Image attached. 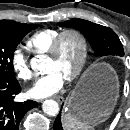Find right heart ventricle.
<instances>
[{"mask_svg":"<svg viewBox=\"0 0 130 130\" xmlns=\"http://www.w3.org/2000/svg\"><path fill=\"white\" fill-rule=\"evenodd\" d=\"M59 33L60 30L58 29H41L28 38L27 47L34 54H45L48 52L51 43Z\"/></svg>","mask_w":130,"mask_h":130,"instance_id":"right-heart-ventricle-1","label":"right heart ventricle"}]
</instances>
